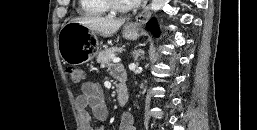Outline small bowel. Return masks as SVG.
<instances>
[{
    "label": "small bowel",
    "instance_id": "c3829d8e",
    "mask_svg": "<svg viewBox=\"0 0 257 130\" xmlns=\"http://www.w3.org/2000/svg\"><path fill=\"white\" fill-rule=\"evenodd\" d=\"M113 73L122 78L119 70ZM76 104L79 110L80 124L82 130H103L102 126H95L93 119L103 123L108 117V109L104 104L103 92L100 86L95 82H86L81 87V94L76 98ZM119 130H135L131 115L125 114L122 117Z\"/></svg>",
    "mask_w": 257,
    "mask_h": 130
}]
</instances>
